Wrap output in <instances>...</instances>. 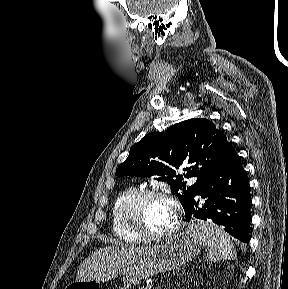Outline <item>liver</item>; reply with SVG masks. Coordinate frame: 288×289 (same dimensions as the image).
Returning a JSON list of instances; mask_svg holds the SVG:
<instances>
[{
  "instance_id": "liver-1",
  "label": "liver",
  "mask_w": 288,
  "mask_h": 289,
  "mask_svg": "<svg viewBox=\"0 0 288 289\" xmlns=\"http://www.w3.org/2000/svg\"><path fill=\"white\" fill-rule=\"evenodd\" d=\"M151 253L150 247L108 246L94 251L79 266L77 281L98 278L140 261Z\"/></svg>"
}]
</instances>
